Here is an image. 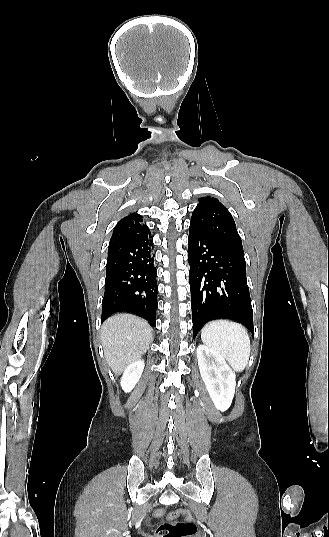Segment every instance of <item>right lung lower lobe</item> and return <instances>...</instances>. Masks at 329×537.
I'll return each mask as SVG.
<instances>
[{
	"label": "right lung lower lobe",
	"instance_id": "right-lung-lower-lobe-1",
	"mask_svg": "<svg viewBox=\"0 0 329 537\" xmlns=\"http://www.w3.org/2000/svg\"><path fill=\"white\" fill-rule=\"evenodd\" d=\"M152 246L149 229L109 244L102 321L127 311L155 325L158 286Z\"/></svg>",
	"mask_w": 329,
	"mask_h": 537
}]
</instances>
